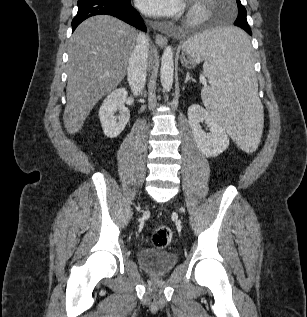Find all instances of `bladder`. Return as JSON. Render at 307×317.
Returning a JSON list of instances; mask_svg holds the SVG:
<instances>
[{
  "label": "bladder",
  "instance_id": "bladder-1",
  "mask_svg": "<svg viewBox=\"0 0 307 317\" xmlns=\"http://www.w3.org/2000/svg\"><path fill=\"white\" fill-rule=\"evenodd\" d=\"M137 258L139 266L154 276L166 274L177 262V256L173 252L152 248L140 249Z\"/></svg>",
  "mask_w": 307,
  "mask_h": 317
}]
</instances>
